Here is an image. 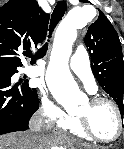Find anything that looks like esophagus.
Returning a JSON list of instances; mask_svg holds the SVG:
<instances>
[{"label": "esophagus", "instance_id": "esophagus-1", "mask_svg": "<svg viewBox=\"0 0 124 149\" xmlns=\"http://www.w3.org/2000/svg\"><path fill=\"white\" fill-rule=\"evenodd\" d=\"M52 132H53V134H55V135H56V134H59V130H58V129H53Z\"/></svg>", "mask_w": 124, "mask_h": 149}]
</instances>
